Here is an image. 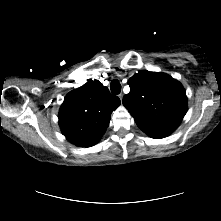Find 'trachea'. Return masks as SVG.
I'll use <instances>...</instances> for the list:
<instances>
[{
	"instance_id": "obj_1",
	"label": "trachea",
	"mask_w": 221,
	"mask_h": 221,
	"mask_svg": "<svg viewBox=\"0 0 221 221\" xmlns=\"http://www.w3.org/2000/svg\"><path fill=\"white\" fill-rule=\"evenodd\" d=\"M110 89L113 94H119L121 92V84L118 80H113L110 84Z\"/></svg>"
}]
</instances>
